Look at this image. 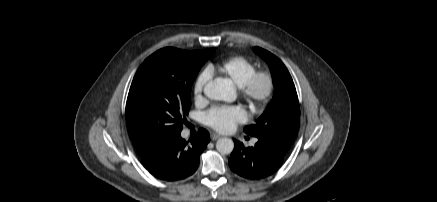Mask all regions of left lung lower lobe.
<instances>
[{
    "label": "left lung lower lobe",
    "mask_w": 437,
    "mask_h": 202,
    "mask_svg": "<svg viewBox=\"0 0 437 202\" xmlns=\"http://www.w3.org/2000/svg\"><path fill=\"white\" fill-rule=\"evenodd\" d=\"M234 150L229 158L230 169L250 180H260L275 173L282 165L285 153L270 143L258 139L254 147L245 148L234 140Z\"/></svg>",
    "instance_id": "left-lung-lower-lobe-1"
}]
</instances>
